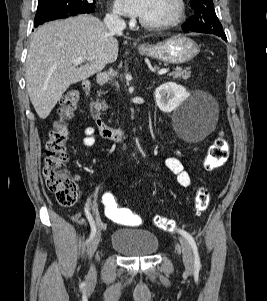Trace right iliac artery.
Instances as JSON below:
<instances>
[{
    "label": "right iliac artery",
    "mask_w": 267,
    "mask_h": 301,
    "mask_svg": "<svg viewBox=\"0 0 267 301\" xmlns=\"http://www.w3.org/2000/svg\"><path fill=\"white\" fill-rule=\"evenodd\" d=\"M87 204H88V202L86 203L85 212H86ZM87 218H88V221H89L90 226H91V233H90L89 239L87 241L89 243L92 240L95 233H96V224H95L94 219L91 216H87Z\"/></svg>",
    "instance_id": "right-iliac-artery-1"
}]
</instances>
